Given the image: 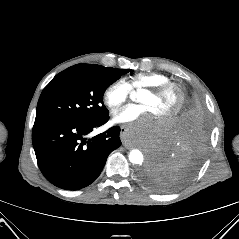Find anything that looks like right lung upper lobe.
Here are the masks:
<instances>
[{
	"mask_svg": "<svg viewBox=\"0 0 239 239\" xmlns=\"http://www.w3.org/2000/svg\"><path fill=\"white\" fill-rule=\"evenodd\" d=\"M74 66L78 67V68H82V69H88V70H108V69H110V68H105L103 66L96 65V64H77Z\"/></svg>",
	"mask_w": 239,
	"mask_h": 239,
	"instance_id": "cb5924a9",
	"label": "right lung upper lobe"
}]
</instances>
